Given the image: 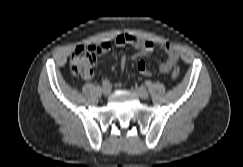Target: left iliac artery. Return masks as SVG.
Wrapping results in <instances>:
<instances>
[{"mask_svg":"<svg viewBox=\"0 0 243 167\" xmlns=\"http://www.w3.org/2000/svg\"><path fill=\"white\" fill-rule=\"evenodd\" d=\"M145 84H146V86H151V81H149V80H147V81H145Z\"/></svg>","mask_w":243,"mask_h":167,"instance_id":"1","label":"left iliac artery"}]
</instances>
